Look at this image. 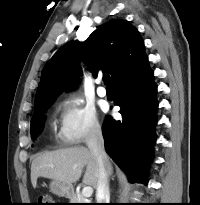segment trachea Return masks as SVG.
<instances>
[{
    "mask_svg": "<svg viewBox=\"0 0 200 205\" xmlns=\"http://www.w3.org/2000/svg\"><path fill=\"white\" fill-rule=\"evenodd\" d=\"M103 82L107 85V87H109V88L112 87V84H111L110 76H109V75H105V76L103 77Z\"/></svg>",
    "mask_w": 200,
    "mask_h": 205,
    "instance_id": "3493384b",
    "label": "trachea"
}]
</instances>
